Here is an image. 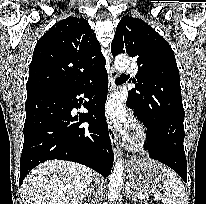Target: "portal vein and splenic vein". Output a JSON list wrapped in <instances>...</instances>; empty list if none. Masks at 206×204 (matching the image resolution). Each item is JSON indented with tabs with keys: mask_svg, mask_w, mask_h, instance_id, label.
Instances as JSON below:
<instances>
[{
	"mask_svg": "<svg viewBox=\"0 0 206 204\" xmlns=\"http://www.w3.org/2000/svg\"><path fill=\"white\" fill-rule=\"evenodd\" d=\"M160 199H161V198H160L159 195H156V196H155V200L159 201Z\"/></svg>",
	"mask_w": 206,
	"mask_h": 204,
	"instance_id": "1",
	"label": "portal vein and splenic vein"
}]
</instances>
